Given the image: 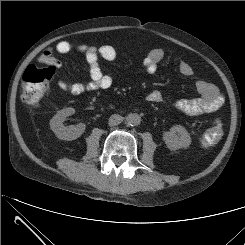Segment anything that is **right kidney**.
<instances>
[{
  "label": "right kidney",
  "instance_id": "obj_1",
  "mask_svg": "<svg viewBox=\"0 0 245 245\" xmlns=\"http://www.w3.org/2000/svg\"><path fill=\"white\" fill-rule=\"evenodd\" d=\"M75 113L74 108H64L50 120V127L55 135L61 140L72 141L80 137L85 131V124L80 123L76 126H64L63 122L67 116Z\"/></svg>",
  "mask_w": 245,
  "mask_h": 245
}]
</instances>
